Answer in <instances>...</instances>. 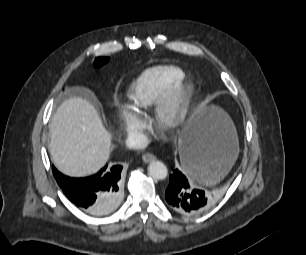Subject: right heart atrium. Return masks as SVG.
<instances>
[{"label":"right heart atrium","mask_w":306,"mask_h":255,"mask_svg":"<svg viewBox=\"0 0 306 255\" xmlns=\"http://www.w3.org/2000/svg\"><path fill=\"white\" fill-rule=\"evenodd\" d=\"M117 116L127 137L137 140L144 126L142 119L126 104L118 105Z\"/></svg>","instance_id":"1"}]
</instances>
